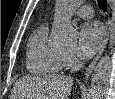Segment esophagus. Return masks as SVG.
Listing matches in <instances>:
<instances>
[{
  "label": "esophagus",
  "mask_w": 115,
  "mask_h": 99,
  "mask_svg": "<svg viewBox=\"0 0 115 99\" xmlns=\"http://www.w3.org/2000/svg\"><path fill=\"white\" fill-rule=\"evenodd\" d=\"M108 4H109L110 10H112V8L114 6L113 0H108ZM111 24H112V21L109 19L108 22H107V25H106V34H105L104 42H103L101 48L99 49L96 57L93 59V61L90 63V65L86 69L85 74H84V79L85 80H88L89 77L91 76V74H92V72H93V70H94L99 58L101 57L102 53L104 52V50H105V48L107 46L110 31H111Z\"/></svg>",
  "instance_id": "1"
}]
</instances>
